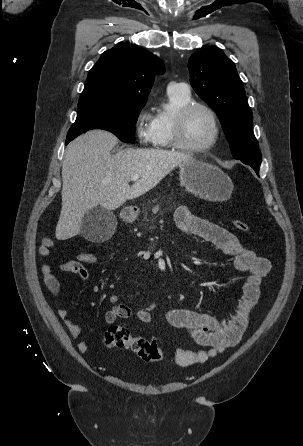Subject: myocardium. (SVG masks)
<instances>
[{"instance_id": "myocardium-1", "label": "myocardium", "mask_w": 303, "mask_h": 446, "mask_svg": "<svg viewBox=\"0 0 303 446\" xmlns=\"http://www.w3.org/2000/svg\"><path fill=\"white\" fill-rule=\"evenodd\" d=\"M196 109L204 110L210 117L213 125V136L211 140L203 146H191L184 140L185 123L188 116ZM220 124L216 112L207 104L202 102H191L181 108L174 116L172 126L173 146L189 153H203L212 149L219 140Z\"/></svg>"}]
</instances>
